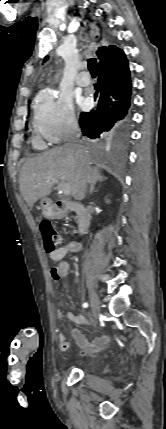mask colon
Returning a JSON list of instances; mask_svg holds the SVG:
<instances>
[{"label":"colon","instance_id":"5ec220e1","mask_svg":"<svg viewBox=\"0 0 166 429\" xmlns=\"http://www.w3.org/2000/svg\"><path fill=\"white\" fill-rule=\"evenodd\" d=\"M40 231L44 241L45 250L51 253L58 249L62 243V236L58 233L51 223L47 220H43L40 225Z\"/></svg>","mask_w":166,"mask_h":429}]
</instances>
